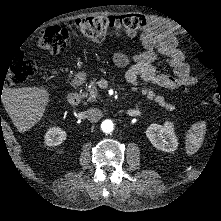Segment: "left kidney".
I'll use <instances>...</instances> for the list:
<instances>
[{
	"instance_id": "left-kidney-1",
	"label": "left kidney",
	"mask_w": 221,
	"mask_h": 221,
	"mask_svg": "<svg viewBox=\"0 0 221 221\" xmlns=\"http://www.w3.org/2000/svg\"><path fill=\"white\" fill-rule=\"evenodd\" d=\"M146 136L158 150L174 152L178 148V137L175 134L174 123L165 121L163 125L153 123L148 126Z\"/></svg>"
}]
</instances>
